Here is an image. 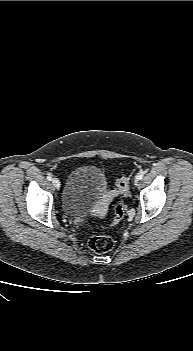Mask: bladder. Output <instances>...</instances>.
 I'll return each mask as SVG.
<instances>
[{
  "label": "bladder",
  "instance_id": "31cf9c89",
  "mask_svg": "<svg viewBox=\"0 0 193 351\" xmlns=\"http://www.w3.org/2000/svg\"><path fill=\"white\" fill-rule=\"evenodd\" d=\"M107 189L103 171L92 165L75 168L67 179L62 193V209L71 218L92 214Z\"/></svg>",
  "mask_w": 193,
  "mask_h": 351
}]
</instances>
